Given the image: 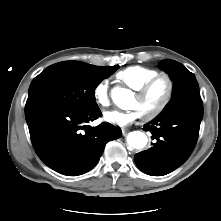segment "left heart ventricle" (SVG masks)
Here are the masks:
<instances>
[{
  "mask_svg": "<svg viewBox=\"0 0 221 221\" xmlns=\"http://www.w3.org/2000/svg\"><path fill=\"white\" fill-rule=\"evenodd\" d=\"M166 89V82L164 80L159 81L144 98L135 95L131 102V108L137 109L141 115L150 113L160 105Z\"/></svg>",
  "mask_w": 221,
  "mask_h": 221,
  "instance_id": "b2bd125f",
  "label": "left heart ventricle"
}]
</instances>
